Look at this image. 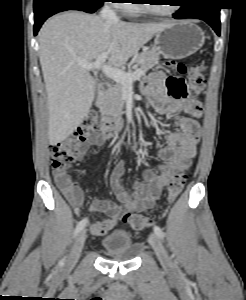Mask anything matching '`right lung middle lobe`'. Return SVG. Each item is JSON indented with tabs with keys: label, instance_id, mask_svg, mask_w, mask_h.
<instances>
[{
	"label": "right lung middle lobe",
	"instance_id": "1",
	"mask_svg": "<svg viewBox=\"0 0 246 300\" xmlns=\"http://www.w3.org/2000/svg\"><path fill=\"white\" fill-rule=\"evenodd\" d=\"M37 1H39V0H34V2H37ZM101 1L102 0H96V2H100V5H102Z\"/></svg>",
	"mask_w": 246,
	"mask_h": 300
}]
</instances>
